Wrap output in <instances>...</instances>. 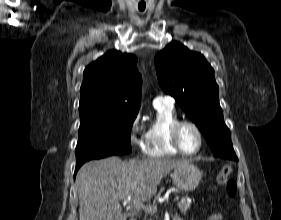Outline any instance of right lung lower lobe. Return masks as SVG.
I'll return each instance as SVG.
<instances>
[{
    "label": "right lung lower lobe",
    "instance_id": "obj_1",
    "mask_svg": "<svg viewBox=\"0 0 281 220\" xmlns=\"http://www.w3.org/2000/svg\"><path fill=\"white\" fill-rule=\"evenodd\" d=\"M82 164H83V163H81V164H76V168H75V175H76V173H77L78 169L82 166Z\"/></svg>",
    "mask_w": 281,
    "mask_h": 220
}]
</instances>
